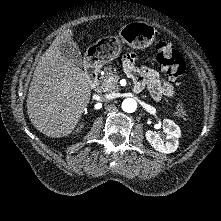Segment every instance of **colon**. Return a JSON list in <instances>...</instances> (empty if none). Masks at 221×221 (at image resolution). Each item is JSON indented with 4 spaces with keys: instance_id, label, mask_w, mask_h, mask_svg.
<instances>
[{
    "instance_id": "colon-1",
    "label": "colon",
    "mask_w": 221,
    "mask_h": 221,
    "mask_svg": "<svg viewBox=\"0 0 221 221\" xmlns=\"http://www.w3.org/2000/svg\"><path fill=\"white\" fill-rule=\"evenodd\" d=\"M155 58L161 68L168 73L172 80L180 79L185 72V63L179 53L167 42L160 41L155 46ZM176 116L187 119V109L184 103H179L175 110Z\"/></svg>"
}]
</instances>
